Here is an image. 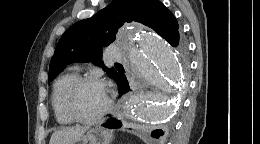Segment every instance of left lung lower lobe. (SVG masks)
<instances>
[{
  "instance_id": "0a47b994",
  "label": "left lung lower lobe",
  "mask_w": 260,
  "mask_h": 144,
  "mask_svg": "<svg viewBox=\"0 0 260 144\" xmlns=\"http://www.w3.org/2000/svg\"><path fill=\"white\" fill-rule=\"evenodd\" d=\"M183 41L182 35L177 32L173 37L172 40L169 42L173 47L178 46V44H181ZM124 73V72H122ZM121 73V76L119 77V79L117 80V85L119 88V94L120 96L126 94L127 92L130 91V87H129V83L127 81V78L125 77V75H123ZM103 126L105 128H109V129H117V128H121L122 127V122L116 118H111L107 121V123L103 124ZM151 135L155 138H159L160 136L163 135V131L162 130H155L151 133Z\"/></svg>"
}]
</instances>
